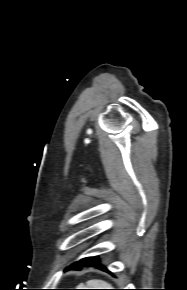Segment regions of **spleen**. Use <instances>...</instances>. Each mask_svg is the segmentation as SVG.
<instances>
[{
    "label": "spleen",
    "instance_id": "obj_1",
    "mask_svg": "<svg viewBox=\"0 0 187 290\" xmlns=\"http://www.w3.org/2000/svg\"><path fill=\"white\" fill-rule=\"evenodd\" d=\"M87 285L91 287V289H112L109 283L102 280H90L87 282Z\"/></svg>",
    "mask_w": 187,
    "mask_h": 290
}]
</instances>
